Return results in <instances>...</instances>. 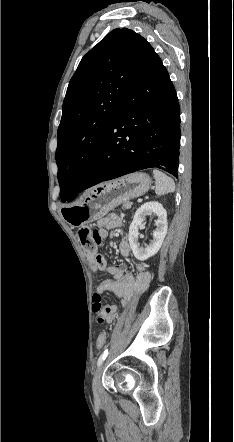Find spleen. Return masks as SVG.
I'll return each instance as SVG.
<instances>
[{
    "label": "spleen",
    "instance_id": "spleen-1",
    "mask_svg": "<svg viewBox=\"0 0 234 442\" xmlns=\"http://www.w3.org/2000/svg\"><path fill=\"white\" fill-rule=\"evenodd\" d=\"M156 180L155 192L157 195H164L175 191V183L172 178L158 169L153 170Z\"/></svg>",
    "mask_w": 234,
    "mask_h": 442
}]
</instances>
